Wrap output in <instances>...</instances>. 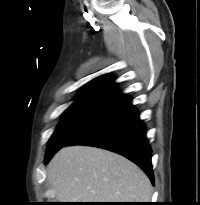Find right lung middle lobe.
<instances>
[{
	"mask_svg": "<svg viewBox=\"0 0 200 205\" xmlns=\"http://www.w3.org/2000/svg\"><path fill=\"white\" fill-rule=\"evenodd\" d=\"M115 102L78 100L66 111L58 128L51 136L46 156L66 144L80 131L108 111Z\"/></svg>",
	"mask_w": 200,
	"mask_h": 205,
	"instance_id": "obj_1",
	"label": "right lung middle lobe"
}]
</instances>
